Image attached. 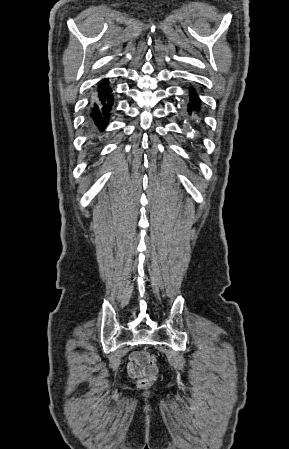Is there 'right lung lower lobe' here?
Masks as SVG:
<instances>
[{"mask_svg":"<svg viewBox=\"0 0 289 449\" xmlns=\"http://www.w3.org/2000/svg\"><path fill=\"white\" fill-rule=\"evenodd\" d=\"M114 99L111 96V89L108 79H103L98 84L97 94L94 96L90 118L100 131H104L110 118L111 107Z\"/></svg>","mask_w":289,"mask_h":449,"instance_id":"obj_1","label":"right lung lower lobe"}]
</instances>
